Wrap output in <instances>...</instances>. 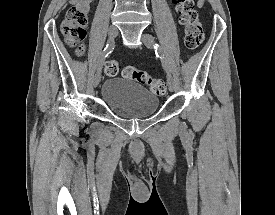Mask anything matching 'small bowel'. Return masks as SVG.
Returning a JSON list of instances; mask_svg holds the SVG:
<instances>
[{
    "instance_id": "1",
    "label": "small bowel",
    "mask_w": 275,
    "mask_h": 215,
    "mask_svg": "<svg viewBox=\"0 0 275 215\" xmlns=\"http://www.w3.org/2000/svg\"><path fill=\"white\" fill-rule=\"evenodd\" d=\"M197 5L199 7H202L204 5V1L203 0H197Z\"/></svg>"
}]
</instances>
